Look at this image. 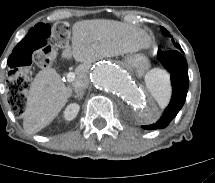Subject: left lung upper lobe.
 <instances>
[{
	"mask_svg": "<svg viewBox=\"0 0 215 183\" xmlns=\"http://www.w3.org/2000/svg\"><path fill=\"white\" fill-rule=\"evenodd\" d=\"M161 32L163 33V35L171 37V35L169 34V32L165 28H163V27H161ZM173 43H174V45H175L176 48H178L179 50L181 49V47H180L179 44L175 43L174 41H173Z\"/></svg>",
	"mask_w": 215,
	"mask_h": 183,
	"instance_id": "5c2ea615",
	"label": "left lung upper lobe"
}]
</instances>
